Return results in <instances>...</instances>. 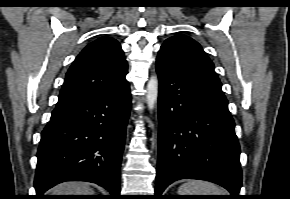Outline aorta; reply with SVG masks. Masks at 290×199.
<instances>
[{
    "label": "aorta",
    "instance_id": "aorta-1",
    "mask_svg": "<svg viewBox=\"0 0 290 199\" xmlns=\"http://www.w3.org/2000/svg\"><path fill=\"white\" fill-rule=\"evenodd\" d=\"M146 101L150 111H152L156 105L158 98V79L157 76H152L147 83L146 87Z\"/></svg>",
    "mask_w": 290,
    "mask_h": 199
}]
</instances>
